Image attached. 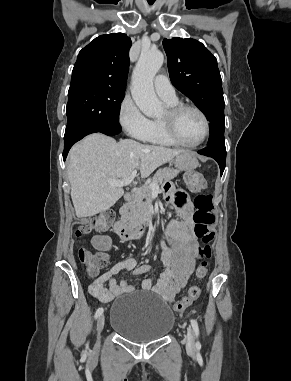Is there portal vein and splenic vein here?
I'll return each instance as SVG.
<instances>
[{"instance_id": "1", "label": "portal vein and splenic vein", "mask_w": 291, "mask_h": 381, "mask_svg": "<svg viewBox=\"0 0 291 381\" xmlns=\"http://www.w3.org/2000/svg\"><path fill=\"white\" fill-rule=\"evenodd\" d=\"M136 174H137V171L133 170L130 176L120 180H108V183L112 186H118V187L127 186L133 181V179L136 177ZM149 188L151 189L152 192L159 191V185L157 183L149 184Z\"/></svg>"}]
</instances>
